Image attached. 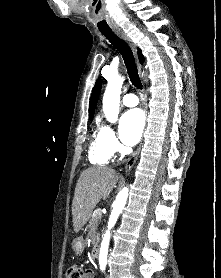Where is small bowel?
Wrapping results in <instances>:
<instances>
[{"label": "small bowel", "instance_id": "c3829d8e", "mask_svg": "<svg viewBox=\"0 0 221 278\" xmlns=\"http://www.w3.org/2000/svg\"><path fill=\"white\" fill-rule=\"evenodd\" d=\"M84 278H94L93 272L91 270H86Z\"/></svg>", "mask_w": 221, "mask_h": 278}]
</instances>
